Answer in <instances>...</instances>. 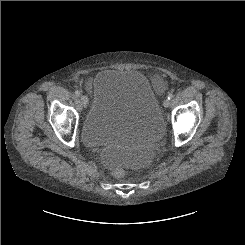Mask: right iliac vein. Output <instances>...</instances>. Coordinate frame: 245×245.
<instances>
[{
  "label": "right iliac vein",
  "mask_w": 245,
  "mask_h": 245,
  "mask_svg": "<svg viewBox=\"0 0 245 245\" xmlns=\"http://www.w3.org/2000/svg\"><path fill=\"white\" fill-rule=\"evenodd\" d=\"M80 100H81V103L83 105H87L88 104V98H87L86 95H81Z\"/></svg>",
  "instance_id": "63e3f726"
}]
</instances>
